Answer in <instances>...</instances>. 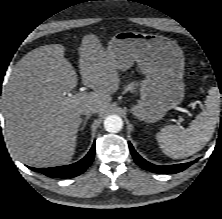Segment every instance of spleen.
Instances as JSON below:
<instances>
[{"label": "spleen", "instance_id": "spleen-1", "mask_svg": "<svg viewBox=\"0 0 222 219\" xmlns=\"http://www.w3.org/2000/svg\"><path fill=\"white\" fill-rule=\"evenodd\" d=\"M220 115V93L212 87L205 101V109L187 129L165 126L156 137L163 152L173 159L191 156L200 151L211 139Z\"/></svg>", "mask_w": 222, "mask_h": 219}]
</instances>
